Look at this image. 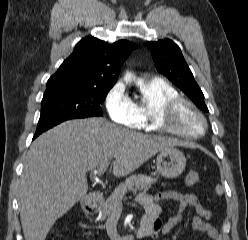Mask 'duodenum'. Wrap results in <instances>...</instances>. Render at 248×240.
Here are the masks:
<instances>
[{"instance_id": "duodenum-1", "label": "duodenum", "mask_w": 248, "mask_h": 240, "mask_svg": "<svg viewBox=\"0 0 248 240\" xmlns=\"http://www.w3.org/2000/svg\"><path fill=\"white\" fill-rule=\"evenodd\" d=\"M102 203V198L100 193H92L84 202V210L87 213L96 212ZM150 233V226L148 224H141L139 231L137 232L136 239H142L148 237ZM135 238L131 236L125 237L123 240H134Z\"/></svg>"}]
</instances>
